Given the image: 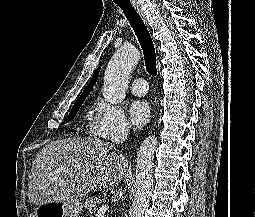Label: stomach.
<instances>
[{"label":"stomach","mask_w":255,"mask_h":217,"mask_svg":"<svg viewBox=\"0 0 255 217\" xmlns=\"http://www.w3.org/2000/svg\"><path fill=\"white\" fill-rule=\"evenodd\" d=\"M82 211V203L78 199L53 201L39 205L35 209V217H78Z\"/></svg>","instance_id":"stomach-1"}]
</instances>
